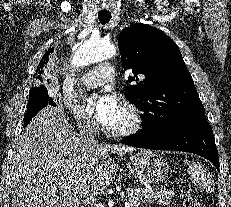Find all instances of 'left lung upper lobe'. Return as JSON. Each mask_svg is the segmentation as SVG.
Segmentation results:
<instances>
[{
  "label": "left lung upper lobe",
  "instance_id": "obj_1",
  "mask_svg": "<svg viewBox=\"0 0 231 207\" xmlns=\"http://www.w3.org/2000/svg\"><path fill=\"white\" fill-rule=\"evenodd\" d=\"M119 50L124 70L132 69L126 98L144 112L140 132L161 135L181 123L205 117L193 79L178 46L162 31L136 24L122 31Z\"/></svg>",
  "mask_w": 231,
  "mask_h": 207
}]
</instances>
